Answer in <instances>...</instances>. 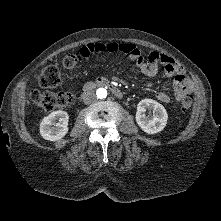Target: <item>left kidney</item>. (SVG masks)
<instances>
[{
  "label": "left kidney",
  "mask_w": 221,
  "mask_h": 221,
  "mask_svg": "<svg viewBox=\"0 0 221 221\" xmlns=\"http://www.w3.org/2000/svg\"><path fill=\"white\" fill-rule=\"evenodd\" d=\"M147 109L153 110V116H146ZM136 122L138 126L147 134L161 132L168 120L166 109L157 101L143 99L137 105Z\"/></svg>",
  "instance_id": "1"
}]
</instances>
